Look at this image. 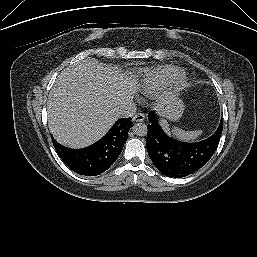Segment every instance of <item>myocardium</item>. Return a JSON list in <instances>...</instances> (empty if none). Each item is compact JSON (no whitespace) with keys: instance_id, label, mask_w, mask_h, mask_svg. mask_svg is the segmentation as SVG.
Masks as SVG:
<instances>
[{"instance_id":"f54148a6","label":"myocardium","mask_w":257,"mask_h":257,"mask_svg":"<svg viewBox=\"0 0 257 257\" xmlns=\"http://www.w3.org/2000/svg\"><path fill=\"white\" fill-rule=\"evenodd\" d=\"M188 83V76L184 71H177L170 79L168 88L172 92L182 90Z\"/></svg>"}]
</instances>
